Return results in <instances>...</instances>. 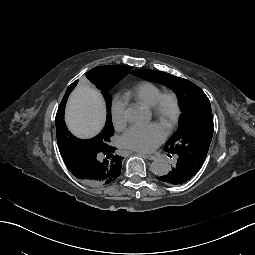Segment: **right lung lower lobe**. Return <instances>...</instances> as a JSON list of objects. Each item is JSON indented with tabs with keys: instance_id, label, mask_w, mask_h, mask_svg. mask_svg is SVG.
Returning <instances> with one entry per match:
<instances>
[{
	"instance_id": "right-lung-lower-lobe-1",
	"label": "right lung lower lobe",
	"mask_w": 255,
	"mask_h": 255,
	"mask_svg": "<svg viewBox=\"0 0 255 255\" xmlns=\"http://www.w3.org/2000/svg\"><path fill=\"white\" fill-rule=\"evenodd\" d=\"M79 179L96 182L100 179V158L97 155L90 156L89 160L83 156L79 161Z\"/></svg>"
}]
</instances>
